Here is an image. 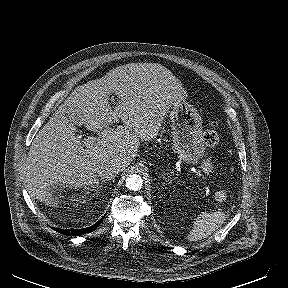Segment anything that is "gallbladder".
<instances>
[{
	"label": "gallbladder",
	"mask_w": 288,
	"mask_h": 288,
	"mask_svg": "<svg viewBox=\"0 0 288 288\" xmlns=\"http://www.w3.org/2000/svg\"><path fill=\"white\" fill-rule=\"evenodd\" d=\"M69 117H70V119L74 125H80L81 124V118L78 115L70 114Z\"/></svg>",
	"instance_id": "obj_1"
}]
</instances>
